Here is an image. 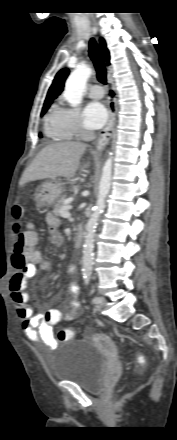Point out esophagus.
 <instances>
[{
	"label": "esophagus",
	"instance_id": "34e87169",
	"mask_svg": "<svg viewBox=\"0 0 177 440\" xmlns=\"http://www.w3.org/2000/svg\"><path fill=\"white\" fill-rule=\"evenodd\" d=\"M108 109L109 120L96 141L95 148L97 151H101L109 143L114 132L116 123V101L114 97L110 98Z\"/></svg>",
	"mask_w": 177,
	"mask_h": 440
}]
</instances>
